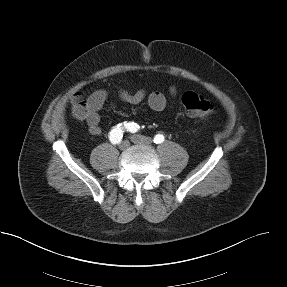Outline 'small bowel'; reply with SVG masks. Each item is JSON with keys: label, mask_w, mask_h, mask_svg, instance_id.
I'll return each instance as SVG.
<instances>
[{"label": "small bowel", "mask_w": 287, "mask_h": 287, "mask_svg": "<svg viewBox=\"0 0 287 287\" xmlns=\"http://www.w3.org/2000/svg\"><path fill=\"white\" fill-rule=\"evenodd\" d=\"M177 86L170 87L171 96L177 95ZM108 93L105 90H97L93 92L87 99L88 115L85 118L89 132L92 135L99 136L102 133L100 127V111L106 102ZM120 99L128 104L139 105L145 103L147 107L153 111H162L166 106V99L159 92L146 93L144 90H138L134 93L121 90Z\"/></svg>", "instance_id": "small-bowel-1"}]
</instances>
